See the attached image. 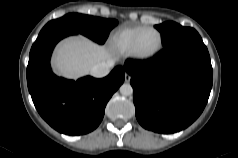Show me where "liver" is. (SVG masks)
Returning <instances> with one entry per match:
<instances>
[{"label": "liver", "mask_w": 238, "mask_h": 158, "mask_svg": "<svg viewBox=\"0 0 238 158\" xmlns=\"http://www.w3.org/2000/svg\"><path fill=\"white\" fill-rule=\"evenodd\" d=\"M110 52L84 36L63 40L53 58L56 71L69 78H78L89 73L92 66L109 61Z\"/></svg>", "instance_id": "1"}]
</instances>
